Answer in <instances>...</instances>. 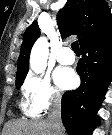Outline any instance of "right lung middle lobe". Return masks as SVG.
<instances>
[{"label":"right lung middle lobe","instance_id":"1","mask_svg":"<svg viewBox=\"0 0 112 135\" xmlns=\"http://www.w3.org/2000/svg\"><path fill=\"white\" fill-rule=\"evenodd\" d=\"M24 79H25V77L16 79V88H17L18 90L20 89V86L23 84Z\"/></svg>","mask_w":112,"mask_h":135}]
</instances>
